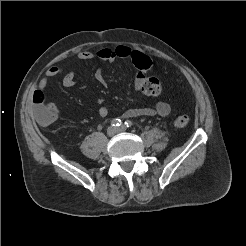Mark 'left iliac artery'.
<instances>
[{
	"label": "left iliac artery",
	"mask_w": 246,
	"mask_h": 246,
	"mask_svg": "<svg viewBox=\"0 0 246 246\" xmlns=\"http://www.w3.org/2000/svg\"><path fill=\"white\" fill-rule=\"evenodd\" d=\"M124 125L129 128L133 125V123L130 120H127L125 121Z\"/></svg>",
	"instance_id": "1"
}]
</instances>
